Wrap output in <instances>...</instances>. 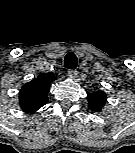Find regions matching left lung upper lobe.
Returning <instances> with one entry per match:
<instances>
[{
  "label": "left lung upper lobe",
  "mask_w": 135,
  "mask_h": 153,
  "mask_svg": "<svg viewBox=\"0 0 135 153\" xmlns=\"http://www.w3.org/2000/svg\"><path fill=\"white\" fill-rule=\"evenodd\" d=\"M89 109L100 112L106 103V93L103 91H95L89 93L88 96Z\"/></svg>",
  "instance_id": "left-lung-upper-lobe-1"
}]
</instances>
